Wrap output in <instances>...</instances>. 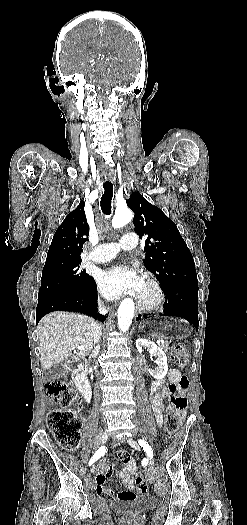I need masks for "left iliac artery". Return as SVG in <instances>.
Here are the masks:
<instances>
[{
  "instance_id": "1",
  "label": "left iliac artery",
  "mask_w": 247,
  "mask_h": 525,
  "mask_svg": "<svg viewBox=\"0 0 247 525\" xmlns=\"http://www.w3.org/2000/svg\"><path fill=\"white\" fill-rule=\"evenodd\" d=\"M139 445L144 449L148 456L153 457L152 447L146 441L138 440Z\"/></svg>"
}]
</instances>
